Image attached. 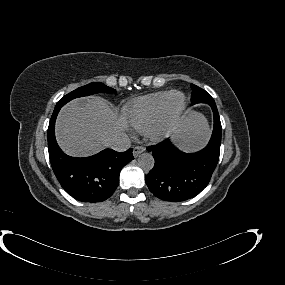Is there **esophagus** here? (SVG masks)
<instances>
[{
    "label": "esophagus",
    "mask_w": 285,
    "mask_h": 285,
    "mask_svg": "<svg viewBox=\"0 0 285 285\" xmlns=\"http://www.w3.org/2000/svg\"><path fill=\"white\" fill-rule=\"evenodd\" d=\"M144 151L145 148L143 146H136L133 148V156L136 158Z\"/></svg>",
    "instance_id": "34e87169"
}]
</instances>
